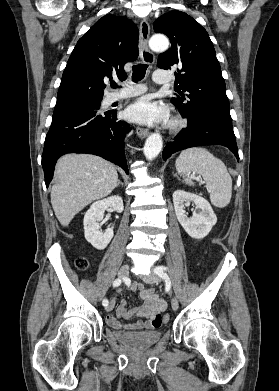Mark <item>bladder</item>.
Returning a JSON list of instances; mask_svg holds the SVG:
<instances>
[{
	"label": "bladder",
	"mask_w": 279,
	"mask_h": 391,
	"mask_svg": "<svg viewBox=\"0 0 279 391\" xmlns=\"http://www.w3.org/2000/svg\"><path fill=\"white\" fill-rule=\"evenodd\" d=\"M114 338L132 349H141L157 343L161 338V331H124L113 330Z\"/></svg>",
	"instance_id": "bladder-1"
}]
</instances>
